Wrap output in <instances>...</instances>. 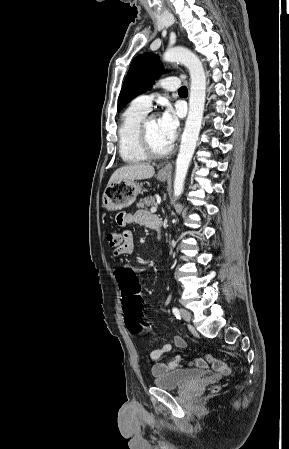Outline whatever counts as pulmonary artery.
<instances>
[{"label":"pulmonary artery","mask_w":289,"mask_h":449,"mask_svg":"<svg viewBox=\"0 0 289 449\" xmlns=\"http://www.w3.org/2000/svg\"><path fill=\"white\" fill-rule=\"evenodd\" d=\"M158 86L165 90H176L179 87V79L177 77H165L159 80ZM154 96L152 94H144L136 97L132 104L145 111H149L152 105Z\"/></svg>","instance_id":"1"}]
</instances>
